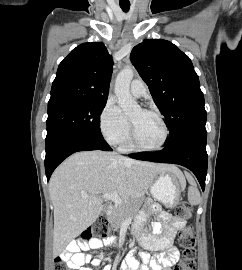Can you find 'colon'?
I'll return each instance as SVG.
<instances>
[{
  "mask_svg": "<svg viewBox=\"0 0 242 270\" xmlns=\"http://www.w3.org/2000/svg\"><path fill=\"white\" fill-rule=\"evenodd\" d=\"M175 215L181 219H188L191 216V207L182 203L176 210ZM112 228L105 218L97 220L83 235V240L106 239L111 235ZM179 243L182 248V261L174 270H195L196 268V234L192 229H186L179 235ZM55 270H67L64 260L61 257L55 259Z\"/></svg>",
  "mask_w": 242,
  "mask_h": 270,
  "instance_id": "obj_1",
  "label": "colon"
}]
</instances>
